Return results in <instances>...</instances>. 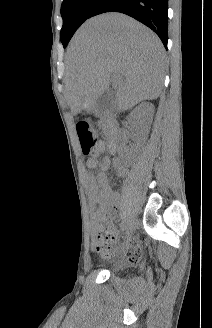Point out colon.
<instances>
[{"label": "colon", "instance_id": "obj_1", "mask_svg": "<svg viewBox=\"0 0 212 328\" xmlns=\"http://www.w3.org/2000/svg\"><path fill=\"white\" fill-rule=\"evenodd\" d=\"M82 153L86 156L94 152L98 136L93 127L86 121H80L76 125ZM117 235L106 225H102L96 237V249L102 255H107L114 247ZM139 258L136 257L135 260Z\"/></svg>", "mask_w": 212, "mask_h": 328}]
</instances>
